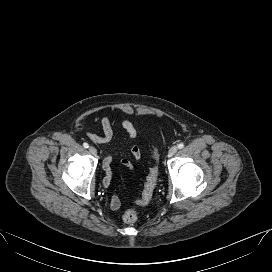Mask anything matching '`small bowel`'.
I'll use <instances>...</instances> for the list:
<instances>
[{"label":"small bowel","mask_w":272,"mask_h":272,"mask_svg":"<svg viewBox=\"0 0 272 272\" xmlns=\"http://www.w3.org/2000/svg\"><path fill=\"white\" fill-rule=\"evenodd\" d=\"M121 125L130 139H134L138 135H140V130L129 119H127V118L122 119ZM101 126H102V130H103V133L101 135H98L93 132H86V136L88 139H90L94 143L109 145L114 141V132L112 129L110 118L108 116H103L101 118ZM130 153H131V156L136 160H138L141 157V151L137 145H133L131 147ZM111 162H112V156L109 151H106V156L103 160V168L106 171V176L103 180V185L106 188L110 185L111 178H112V172H111V168H110ZM121 165L124 168L128 169L130 172H133V170H134L132 162L128 159H123L121 161ZM110 207L114 210H116L120 207V199L117 195H113L111 197Z\"/></svg>","instance_id":"obj_1"}]
</instances>
